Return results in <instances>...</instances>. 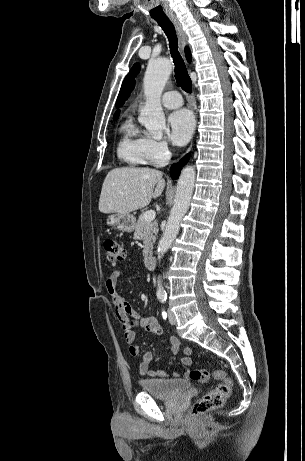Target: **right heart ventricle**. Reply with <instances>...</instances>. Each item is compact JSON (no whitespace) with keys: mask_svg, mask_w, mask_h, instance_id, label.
I'll return each mask as SVG.
<instances>
[{"mask_svg":"<svg viewBox=\"0 0 305 461\" xmlns=\"http://www.w3.org/2000/svg\"><path fill=\"white\" fill-rule=\"evenodd\" d=\"M117 152L119 158L129 165L137 166L152 163L149 138L139 131L131 119H127L121 127V138Z\"/></svg>","mask_w":305,"mask_h":461,"instance_id":"1","label":"right heart ventricle"}]
</instances>
